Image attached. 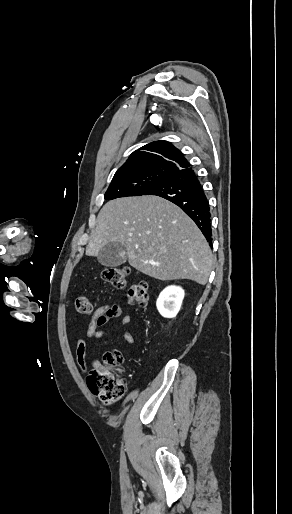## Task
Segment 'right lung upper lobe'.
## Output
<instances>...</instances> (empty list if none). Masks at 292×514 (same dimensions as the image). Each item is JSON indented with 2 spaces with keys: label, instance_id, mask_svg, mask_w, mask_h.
I'll return each mask as SVG.
<instances>
[{
  "label": "right lung upper lobe",
  "instance_id": "right-lung-upper-lobe-1",
  "mask_svg": "<svg viewBox=\"0 0 292 514\" xmlns=\"http://www.w3.org/2000/svg\"><path fill=\"white\" fill-rule=\"evenodd\" d=\"M190 168L183 154L168 141L151 142L134 151L115 175L165 172L170 175Z\"/></svg>",
  "mask_w": 292,
  "mask_h": 514
}]
</instances>
